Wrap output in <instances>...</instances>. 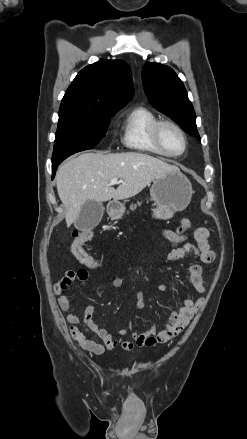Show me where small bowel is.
Masks as SVG:
<instances>
[{
	"label": "small bowel",
	"mask_w": 247,
	"mask_h": 439,
	"mask_svg": "<svg viewBox=\"0 0 247 439\" xmlns=\"http://www.w3.org/2000/svg\"><path fill=\"white\" fill-rule=\"evenodd\" d=\"M163 234L171 243L178 245V247L172 249L166 255L165 262H174L190 254L197 257L200 262L204 264H210L214 261L215 253L211 250L209 245L208 229L200 227L195 230L194 238L196 244L188 242L186 234L179 233L177 230L165 229ZM75 277V272L67 271L55 284L54 292L58 296L60 308L67 313V321L70 325V333L73 339L80 348L97 355L103 354L107 350H112L117 345H120L124 350L130 351L136 347H150L169 342L184 330L203 303V298L194 300L186 297L181 299L179 308L168 315L162 330H158L156 322H153L148 330L139 332L133 329L132 323L130 322L127 329L111 334L106 329L99 328L93 322L92 316L95 310L93 306H88L82 317L74 313L71 301L64 292L71 286ZM188 279L199 293L206 292V281L203 278V270L200 265L193 264L188 268ZM122 283L121 278H116L113 285L118 288L121 287ZM156 287L160 290L166 289L165 285H157ZM136 299L135 311H138L144 307L143 294L138 292ZM81 324H83L99 342L87 339L84 332L79 328ZM122 336H130L132 341L122 340Z\"/></svg>",
	"instance_id": "obj_1"
}]
</instances>
